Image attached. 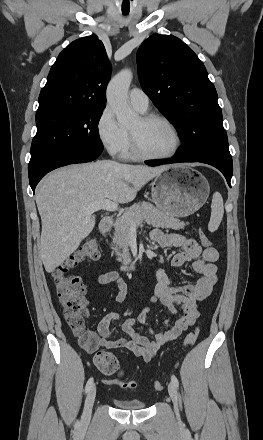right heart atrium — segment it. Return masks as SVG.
<instances>
[{
    "instance_id": "1",
    "label": "right heart atrium",
    "mask_w": 263,
    "mask_h": 440,
    "mask_svg": "<svg viewBox=\"0 0 263 440\" xmlns=\"http://www.w3.org/2000/svg\"><path fill=\"white\" fill-rule=\"evenodd\" d=\"M96 130L99 141L111 154L122 152L129 141L126 129L119 124L109 107H105L100 113Z\"/></svg>"
}]
</instances>
